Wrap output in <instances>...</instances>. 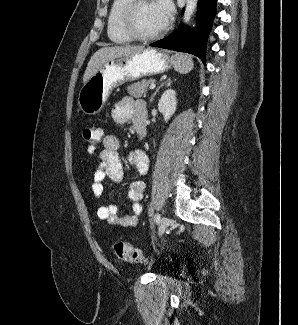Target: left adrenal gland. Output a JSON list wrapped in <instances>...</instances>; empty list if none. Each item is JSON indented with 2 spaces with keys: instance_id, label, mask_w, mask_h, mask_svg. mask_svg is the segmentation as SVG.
<instances>
[{
  "instance_id": "a2214340",
  "label": "left adrenal gland",
  "mask_w": 298,
  "mask_h": 325,
  "mask_svg": "<svg viewBox=\"0 0 298 325\" xmlns=\"http://www.w3.org/2000/svg\"><path fill=\"white\" fill-rule=\"evenodd\" d=\"M172 80L171 78H165V80H163V82H161L160 86H158V88H156L155 92H153L149 102H152V100H154V96H156L157 92H159L160 88H162V86H170Z\"/></svg>"
}]
</instances>
